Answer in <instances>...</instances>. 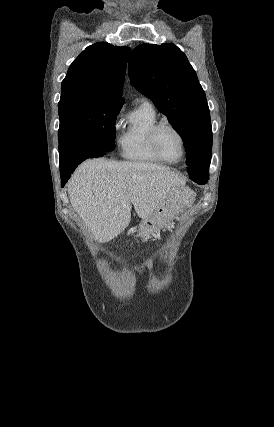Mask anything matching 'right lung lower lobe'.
Segmentation results:
<instances>
[{
    "label": "right lung lower lobe",
    "mask_w": 274,
    "mask_h": 427,
    "mask_svg": "<svg viewBox=\"0 0 274 427\" xmlns=\"http://www.w3.org/2000/svg\"><path fill=\"white\" fill-rule=\"evenodd\" d=\"M108 152H104V153H99L96 155H93L91 158H95V157H101L105 154H107ZM83 162V161H81ZM75 163V164H71V165H66V166H60V175H61V186L63 187L65 185V183L68 181V179L71 176V173L76 169V167L81 163Z\"/></svg>",
    "instance_id": "right-lung-lower-lobe-1"
}]
</instances>
